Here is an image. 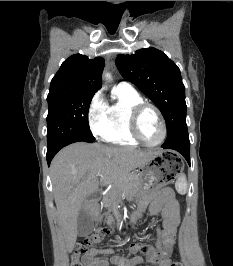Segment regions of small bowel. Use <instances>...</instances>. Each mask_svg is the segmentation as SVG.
Instances as JSON below:
<instances>
[{
    "mask_svg": "<svg viewBox=\"0 0 233 266\" xmlns=\"http://www.w3.org/2000/svg\"><path fill=\"white\" fill-rule=\"evenodd\" d=\"M150 199H153L149 206L150 214L160 215L162 218V224L157 228L155 246L145 243L131 244L129 251L133 254L138 253L131 259L113 254L112 248L92 246L83 257V266H137L145 260L155 266H170L167 255L174 245L180 222L179 204L173 191L168 188L155 196L144 195L139 203V213L134 216V220L144 212Z\"/></svg>",
    "mask_w": 233,
    "mask_h": 266,
    "instance_id": "1",
    "label": "small bowel"
}]
</instances>
